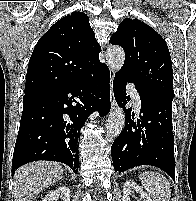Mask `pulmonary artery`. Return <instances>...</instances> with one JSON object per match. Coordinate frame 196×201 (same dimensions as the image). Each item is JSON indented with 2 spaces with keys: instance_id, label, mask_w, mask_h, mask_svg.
<instances>
[{
  "instance_id": "pulmonary-artery-1",
  "label": "pulmonary artery",
  "mask_w": 196,
  "mask_h": 201,
  "mask_svg": "<svg viewBox=\"0 0 196 201\" xmlns=\"http://www.w3.org/2000/svg\"><path fill=\"white\" fill-rule=\"evenodd\" d=\"M131 95L134 100L135 106L137 108H139L140 107V97H139L138 92L133 87H131Z\"/></svg>"
}]
</instances>
